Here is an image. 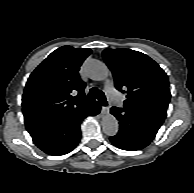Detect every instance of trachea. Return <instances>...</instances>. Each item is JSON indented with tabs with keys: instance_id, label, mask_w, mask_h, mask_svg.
Masks as SVG:
<instances>
[{
	"instance_id": "1",
	"label": "trachea",
	"mask_w": 194,
	"mask_h": 193,
	"mask_svg": "<svg viewBox=\"0 0 194 193\" xmlns=\"http://www.w3.org/2000/svg\"><path fill=\"white\" fill-rule=\"evenodd\" d=\"M88 100H95V99H98L100 104H102L103 106H107V101H106V98H105V95L104 93L99 90L98 88L96 87H93L88 96L86 97Z\"/></svg>"
}]
</instances>
